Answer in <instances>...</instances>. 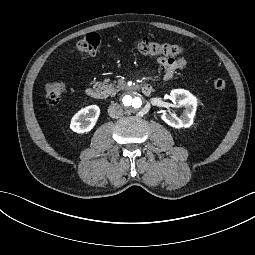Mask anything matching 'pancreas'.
Instances as JSON below:
<instances>
[{"label":"pancreas","instance_id":"1","mask_svg":"<svg viewBox=\"0 0 255 255\" xmlns=\"http://www.w3.org/2000/svg\"><path fill=\"white\" fill-rule=\"evenodd\" d=\"M96 86L103 92L104 96H115L116 93L124 89L121 86L116 87L112 83H105L101 81L97 82Z\"/></svg>","mask_w":255,"mask_h":255}]
</instances>
